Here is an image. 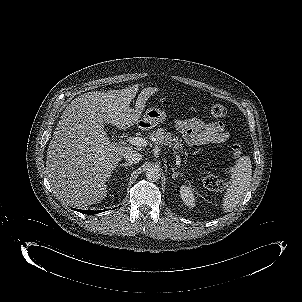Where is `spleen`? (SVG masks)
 <instances>
[{"label":"spleen","instance_id":"3e777b00","mask_svg":"<svg viewBox=\"0 0 302 302\" xmlns=\"http://www.w3.org/2000/svg\"><path fill=\"white\" fill-rule=\"evenodd\" d=\"M252 166L248 156L241 157L234 167L232 183L224 193L222 207L225 211L234 209L249 187L252 177Z\"/></svg>","mask_w":302,"mask_h":302}]
</instances>
